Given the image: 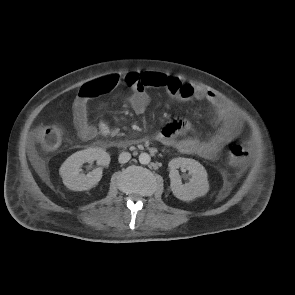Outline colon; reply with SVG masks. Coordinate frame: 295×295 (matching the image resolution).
Masks as SVG:
<instances>
[{"label":"colon","instance_id":"obj_1","mask_svg":"<svg viewBox=\"0 0 295 295\" xmlns=\"http://www.w3.org/2000/svg\"><path fill=\"white\" fill-rule=\"evenodd\" d=\"M117 83L127 88L140 85L138 77L135 74H126L112 81L113 85ZM38 139L45 149L55 150L61 144L62 133L61 130L55 126H46L39 130ZM248 156L249 151L244 145L238 142H231L229 144V158L233 164L237 165L243 163Z\"/></svg>","mask_w":295,"mask_h":295}]
</instances>
